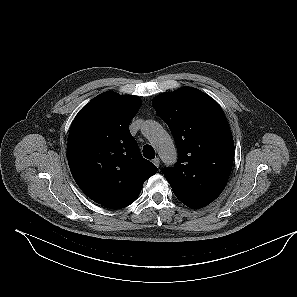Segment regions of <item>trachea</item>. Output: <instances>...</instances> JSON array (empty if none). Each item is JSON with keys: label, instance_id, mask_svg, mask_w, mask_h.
Returning a JSON list of instances; mask_svg holds the SVG:
<instances>
[{"label": "trachea", "instance_id": "obj_1", "mask_svg": "<svg viewBox=\"0 0 297 297\" xmlns=\"http://www.w3.org/2000/svg\"><path fill=\"white\" fill-rule=\"evenodd\" d=\"M143 156L147 159H154L155 158V151L152 146L145 145L143 147Z\"/></svg>", "mask_w": 297, "mask_h": 297}]
</instances>
